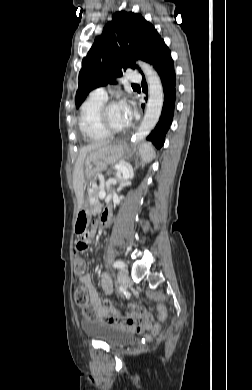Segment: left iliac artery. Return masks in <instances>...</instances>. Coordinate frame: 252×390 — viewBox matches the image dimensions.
<instances>
[{"mask_svg":"<svg viewBox=\"0 0 252 390\" xmlns=\"http://www.w3.org/2000/svg\"><path fill=\"white\" fill-rule=\"evenodd\" d=\"M124 266H125V264H124V262L121 261V260H117V261H115L114 264H113V267H114V268H124Z\"/></svg>","mask_w":252,"mask_h":390,"instance_id":"44dca946","label":"left iliac artery"}]
</instances>
